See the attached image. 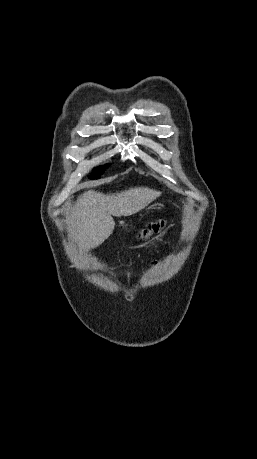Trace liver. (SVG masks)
<instances>
[{"label":"liver","instance_id":"liver-1","mask_svg":"<svg viewBox=\"0 0 257 459\" xmlns=\"http://www.w3.org/2000/svg\"><path fill=\"white\" fill-rule=\"evenodd\" d=\"M159 192L135 187L116 194L89 190L77 200L70 217V237L84 250L102 244L113 232L112 216H130L144 209Z\"/></svg>","mask_w":257,"mask_h":459}]
</instances>
